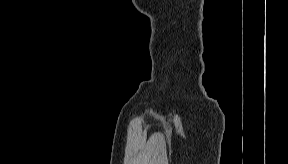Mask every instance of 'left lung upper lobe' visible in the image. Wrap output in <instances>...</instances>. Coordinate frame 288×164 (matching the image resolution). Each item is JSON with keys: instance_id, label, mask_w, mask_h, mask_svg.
Listing matches in <instances>:
<instances>
[{"instance_id": "5c2ea615", "label": "left lung upper lobe", "mask_w": 288, "mask_h": 164, "mask_svg": "<svg viewBox=\"0 0 288 164\" xmlns=\"http://www.w3.org/2000/svg\"><path fill=\"white\" fill-rule=\"evenodd\" d=\"M217 82H219V83L224 82V78H220Z\"/></svg>"}]
</instances>
